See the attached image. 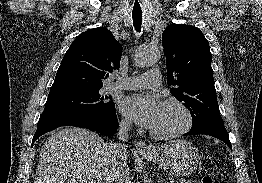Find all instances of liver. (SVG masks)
Listing matches in <instances>:
<instances>
[{
    "mask_svg": "<svg viewBox=\"0 0 262 183\" xmlns=\"http://www.w3.org/2000/svg\"><path fill=\"white\" fill-rule=\"evenodd\" d=\"M107 145L82 128L55 132L41 148L34 183H111L115 170Z\"/></svg>",
    "mask_w": 262,
    "mask_h": 183,
    "instance_id": "6515ba94",
    "label": "liver"
}]
</instances>
